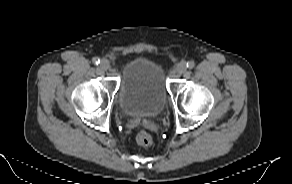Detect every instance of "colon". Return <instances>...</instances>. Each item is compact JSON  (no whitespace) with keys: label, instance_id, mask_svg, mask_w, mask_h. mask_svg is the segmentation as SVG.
<instances>
[{"label":"colon","instance_id":"5ec220e1","mask_svg":"<svg viewBox=\"0 0 292 184\" xmlns=\"http://www.w3.org/2000/svg\"><path fill=\"white\" fill-rule=\"evenodd\" d=\"M136 142L138 145L140 146H150L153 143V138L150 135V133H148L145 130H140L137 134H136Z\"/></svg>","mask_w":292,"mask_h":184}]
</instances>
